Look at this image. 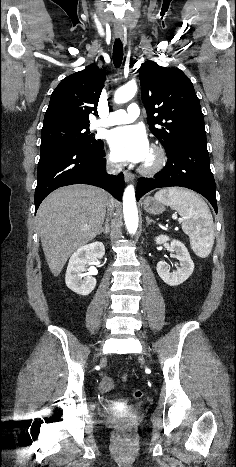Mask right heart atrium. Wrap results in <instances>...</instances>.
<instances>
[{
    "label": "right heart atrium",
    "instance_id": "d8ad5b80",
    "mask_svg": "<svg viewBox=\"0 0 236 467\" xmlns=\"http://www.w3.org/2000/svg\"><path fill=\"white\" fill-rule=\"evenodd\" d=\"M109 161L111 164L115 165L116 164V160L114 159L113 155H110L109 156Z\"/></svg>",
    "mask_w": 236,
    "mask_h": 467
}]
</instances>
